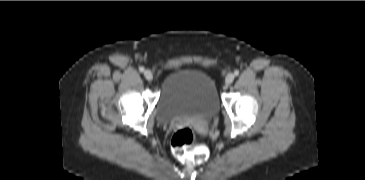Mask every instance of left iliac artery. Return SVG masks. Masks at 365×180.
<instances>
[{
	"mask_svg": "<svg viewBox=\"0 0 365 180\" xmlns=\"http://www.w3.org/2000/svg\"><path fill=\"white\" fill-rule=\"evenodd\" d=\"M234 75H235V76H238V75H239V71H238V70H235V71H234Z\"/></svg>",
	"mask_w": 365,
	"mask_h": 180,
	"instance_id": "44dca946",
	"label": "left iliac artery"
}]
</instances>
